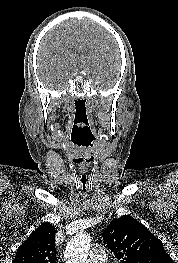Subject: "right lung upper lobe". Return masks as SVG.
<instances>
[{"label": "right lung upper lobe", "mask_w": 178, "mask_h": 263, "mask_svg": "<svg viewBox=\"0 0 178 263\" xmlns=\"http://www.w3.org/2000/svg\"><path fill=\"white\" fill-rule=\"evenodd\" d=\"M55 233L49 222L41 224L19 246L12 263H56Z\"/></svg>", "instance_id": "right-lung-upper-lobe-1"}]
</instances>
